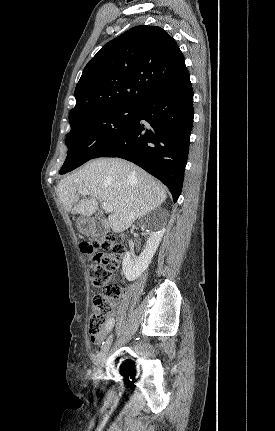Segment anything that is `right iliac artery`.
<instances>
[{"label": "right iliac artery", "mask_w": 275, "mask_h": 431, "mask_svg": "<svg viewBox=\"0 0 275 431\" xmlns=\"http://www.w3.org/2000/svg\"><path fill=\"white\" fill-rule=\"evenodd\" d=\"M114 324H115V320H114V318H110V319L107 321V324H106L107 332H110V331L112 330V328H113ZM103 344H104V342L102 343V345H103Z\"/></svg>", "instance_id": "right-iliac-artery-1"}]
</instances>
